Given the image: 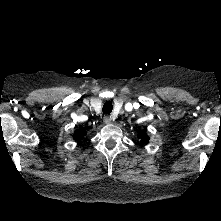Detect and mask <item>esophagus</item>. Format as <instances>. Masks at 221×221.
Masks as SVG:
<instances>
[{"label":"esophagus","instance_id":"obj_1","mask_svg":"<svg viewBox=\"0 0 221 221\" xmlns=\"http://www.w3.org/2000/svg\"><path fill=\"white\" fill-rule=\"evenodd\" d=\"M103 120H104V123H105V124L111 123V117L108 116V115H105L104 118H103Z\"/></svg>","mask_w":221,"mask_h":221}]
</instances>
